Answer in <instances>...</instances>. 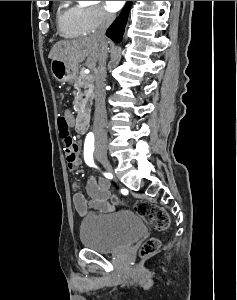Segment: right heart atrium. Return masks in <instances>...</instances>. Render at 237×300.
<instances>
[{"label": "right heart atrium", "mask_w": 237, "mask_h": 300, "mask_svg": "<svg viewBox=\"0 0 237 300\" xmlns=\"http://www.w3.org/2000/svg\"><path fill=\"white\" fill-rule=\"evenodd\" d=\"M113 19V14L100 4L80 8L79 25L83 34H89L100 27L107 26Z\"/></svg>", "instance_id": "right-heart-atrium-1"}]
</instances>
